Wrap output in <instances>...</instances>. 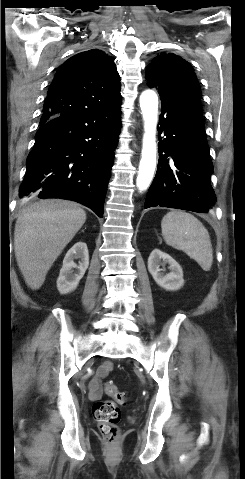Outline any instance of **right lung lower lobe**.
Wrapping results in <instances>:
<instances>
[{"instance_id":"98d812e1","label":"right lung lower lobe","mask_w":245,"mask_h":479,"mask_svg":"<svg viewBox=\"0 0 245 479\" xmlns=\"http://www.w3.org/2000/svg\"><path fill=\"white\" fill-rule=\"evenodd\" d=\"M120 126V106L42 124L27 158L20 197L72 200L102 217Z\"/></svg>"}]
</instances>
